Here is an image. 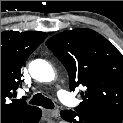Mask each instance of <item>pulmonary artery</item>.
I'll list each match as a JSON object with an SVG mask.
<instances>
[{"instance_id":"obj_1","label":"pulmonary artery","mask_w":123,"mask_h":123,"mask_svg":"<svg viewBox=\"0 0 123 123\" xmlns=\"http://www.w3.org/2000/svg\"><path fill=\"white\" fill-rule=\"evenodd\" d=\"M59 99L62 103H64L67 106H73L74 105V99L65 91H59L58 92Z\"/></svg>"}]
</instances>
